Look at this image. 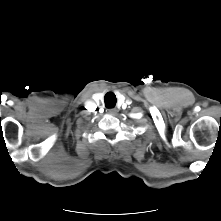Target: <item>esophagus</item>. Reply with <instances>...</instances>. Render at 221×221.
I'll list each match as a JSON object with an SVG mask.
<instances>
[{"instance_id":"esophagus-1","label":"esophagus","mask_w":221,"mask_h":221,"mask_svg":"<svg viewBox=\"0 0 221 221\" xmlns=\"http://www.w3.org/2000/svg\"><path fill=\"white\" fill-rule=\"evenodd\" d=\"M107 113L110 115H116L117 114V109L115 108H110L107 110Z\"/></svg>"}]
</instances>
